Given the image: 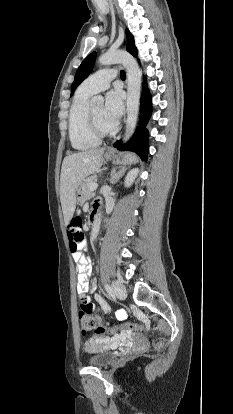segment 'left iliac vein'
I'll return each instance as SVG.
<instances>
[{
	"label": "left iliac vein",
	"instance_id": "1",
	"mask_svg": "<svg viewBox=\"0 0 233 414\" xmlns=\"http://www.w3.org/2000/svg\"><path fill=\"white\" fill-rule=\"evenodd\" d=\"M112 288L114 291L115 296L118 299H125L127 296L126 287L123 285V283L119 281H115L112 283Z\"/></svg>",
	"mask_w": 233,
	"mask_h": 414
}]
</instances>
